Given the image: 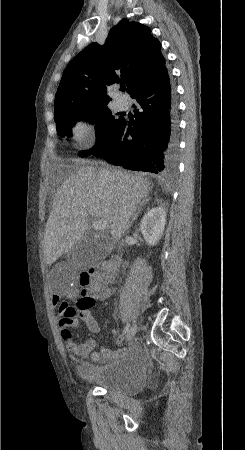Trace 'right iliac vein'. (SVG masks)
Masks as SVG:
<instances>
[{"instance_id": "1", "label": "right iliac vein", "mask_w": 245, "mask_h": 450, "mask_svg": "<svg viewBox=\"0 0 245 450\" xmlns=\"http://www.w3.org/2000/svg\"><path fill=\"white\" fill-rule=\"evenodd\" d=\"M136 332H137V325H133V326L130 328V330H129L127 336H126V340H127V341H128V340H131V339L135 336Z\"/></svg>"}]
</instances>
